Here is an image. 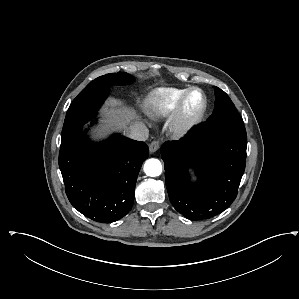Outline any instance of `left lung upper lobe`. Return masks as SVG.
Returning <instances> with one entry per match:
<instances>
[{
  "label": "left lung upper lobe",
  "instance_id": "5c2ea615",
  "mask_svg": "<svg viewBox=\"0 0 299 299\" xmlns=\"http://www.w3.org/2000/svg\"><path fill=\"white\" fill-rule=\"evenodd\" d=\"M214 89L216 96L215 109L208 122L222 121L244 124L229 96L218 87Z\"/></svg>",
  "mask_w": 299,
  "mask_h": 299
}]
</instances>
